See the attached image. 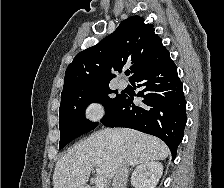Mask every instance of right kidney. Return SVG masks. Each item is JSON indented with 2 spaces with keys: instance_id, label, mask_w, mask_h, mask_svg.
<instances>
[{
  "instance_id": "obj_1",
  "label": "right kidney",
  "mask_w": 224,
  "mask_h": 188,
  "mask_svg": "<svg viewBox=\"0 0 224 188\" xmlns=\"http://www.w3.org/2000/svg\"><path fill=\"white\" fill-rule=\"evenodd\" d=\"M163 173V165L158 161H150L139 165L131 176L134 188H155Z\"/></svg>"
}]
</instances>
